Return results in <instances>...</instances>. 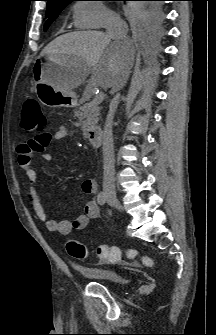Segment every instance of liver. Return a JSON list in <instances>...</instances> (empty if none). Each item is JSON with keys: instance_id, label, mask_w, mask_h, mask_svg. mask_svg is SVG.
Segmentation results:
<instances>
[{"instance_id": "6515ba94", "label": "liver", "mask_w": 216, "mask_h": 335, "mask_svg": "<svg viewBox=\"0 0 216 335\" xmlns=\"http://www.w3.org/2000/svg\"><path fill=\"white\" fill-rule=\"evenodd\" d=\"M135 46L129 39L112 40L101 31H75L54 39L41 55L73 59L70 69L64 75L61 90L71 92L80 86L91 74V87L119 88V74L133 61Z\"/></svg>"}]
</instances>
